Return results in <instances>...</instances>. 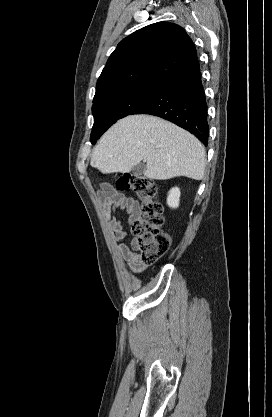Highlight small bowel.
Listing matches in <instances>:
<instances>
[{"mask_svg": "<svg viewBox=\"0 0 272 417\" xmlns=\"http://www.w3.org/2000/svg\"><path fill=\"white\" fill-rule=\"evenodd\" d=\"M97 198L101 205L104 218L110 225L113 239L118 243L117 250L120 256L126 261L128 268L134 273L145 270L146 265L142 263L140 255L136 252V241L132 240L130 245L121 242L127 236L123 222L117 219L116 211H124L128 215V222H133L140 211L138 202L132 197L119 192L109 183H102L97 190Z\"/></svg>", "mask_w": 272, "mask_h": 417, "instance_id": "c3829d8e", "label": "small bowel"}]
</instances>
